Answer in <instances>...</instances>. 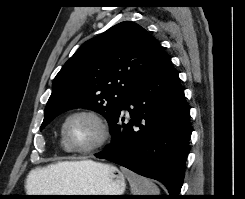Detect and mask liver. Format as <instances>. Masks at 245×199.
<instances>
[{
	"mask_svg": "<svg viewBox=\"0 0 245 199\" xmlns=\"http://www.w3.org/2000/svg\"><path fill=\"white\" fill-rule=\"evenodd\" d=\"M85 161H64L49 165L45 168L32 170L27 178L28 187L43 191L44 193H61L66 190V183L70 180L71 173L82 166L92 163Z\"/></svg>",
	"mask_w": 245,
	"mask_h": 199,
	"instance_id": "1",
	"label": "liver"
}]
</instances>
